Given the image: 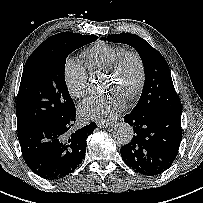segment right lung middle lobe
I'll use <instances>...</instances> for the list:
<instances>
[{"instance_id": "right-lung-middle-lobe-1", "label": "right lung middle lobe", "mask_w": 203, "mask_h": 203, "mask_svg": "<svg viewBox=\"0 0 203 203\" xmlns=\"http://www.w3.org/2000/svg\"><path fill=\"white\" fill-rule=\"evenodd\" d=\"M97 39L94 35L69 33L50 45L37 47L30 55L23 69L16 103L18 132L75 109L65 83L66 58Z\"/></svg>"}]
</instances>
